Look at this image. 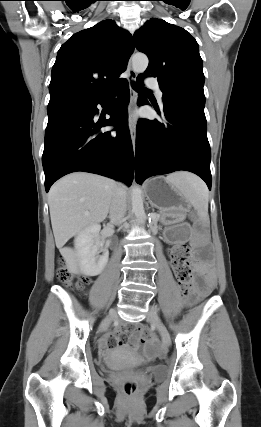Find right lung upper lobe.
<instances>
[{"mask_svg": "<svg viewBox=\"0 0 261 427\" xmlns=\"http://www.w3.org/2000/svg\"><path fill=\"white\" fill-rule=\"evenodd\" d=\"M133 50L130 33L112 20L75 33L61 46L52 67L47 110L92 105L105 99L126 80L119 75Z\"/></svg>", "mask_w": 261, "mask_h": 427, "instance_id": "1", "label": "right lung upper lobe"}]
</instances>
